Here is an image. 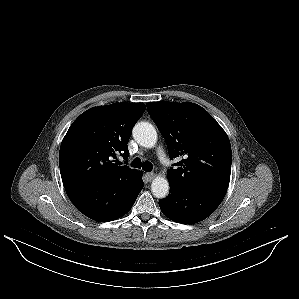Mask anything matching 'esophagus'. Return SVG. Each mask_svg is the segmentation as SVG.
I'll return each mask as SVG.
<instances>
[{
    "instance_id": "34e87169",
    "label": "esophagus",
    "mask_w": 299,
    "mask_h": 299,
    "mask_svg": "<svg viewBox=\"0 0 299 299\" xmlns=\"http://www.w3.org/2000/svg\"><path fill=\"white\" fill-rule=\"evenodd\" d=\"M146 177H147L148 181H151L155 177V174L152 172L146 173Z\"/></svg>"
}]
</instances>
